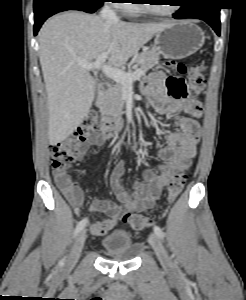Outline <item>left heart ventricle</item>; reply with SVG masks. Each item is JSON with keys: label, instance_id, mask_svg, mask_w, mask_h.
<instances>
[{"label": "left heart ventricle", "instance_id": "b2bd125f", "mask_svg": "<svg viewBox=\"0 0 246 300\" xmlns=\"http://www.w3.org/2000/svg\"><path fill=\"white\" fill-rule=\"evenodd\" d=\"M159 4H150L151 7L159 12H168L170 11L174 6V1H155Z\"/></svg>", "mask_w": 246, "mask_h": 300}]
</instances>
